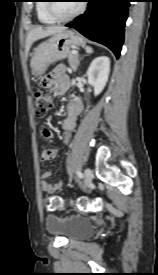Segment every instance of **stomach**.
I'll return each instance as SVG.
<instances>
[{
	"label": "stomach",
	"instance_id": "stomach-1",
	"mask_svg": "<svg viewBox=\"0 0 158 275\" xmlns=\"http://www.w3.org/2000/svg\"><path fill=\"white\" fill-rule=\"evenodd\" d=\"M85 41L73 30H64L41 43L31 59L32 72L39 76L46 72L49 65L67 58L72 46H82Z\"/></svg>",
	"mask_w": 158,
	"mask_h": 275
}]
</instances>
